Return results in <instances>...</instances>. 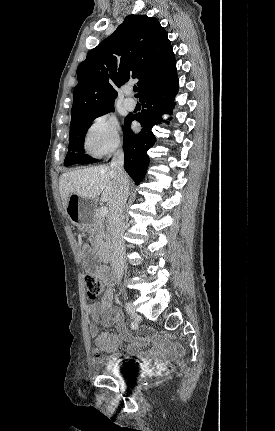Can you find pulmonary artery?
Returning <instances> with one entry per match:
<instances>
[{"label":"pulmonary artery","mask_w":275,"mask_h":431,"mask_svg":"<svg viewBox=\"0 0 275 431\" xmlns=\"http://www.w3.org/2000/svg\"><path fill=\"white\" fill-rule=\"evenodd\" d=\"M130 90L126 91V94L129 95L130 94ZM124 106L128 109V110H134L136 107V101L131 98V97H127L124 100Z\"/></svg>","instance_id":"pulmonary-artery-1"}]
</instances>
